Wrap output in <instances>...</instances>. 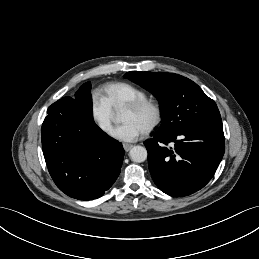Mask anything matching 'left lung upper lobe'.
<instances>
[{
  "label": "left lung upper lobe",
  "instance_id": "5c2ea615",
  "mask_svg": "<svg viewBox=\"0 0 259 259\" xmlns=\"http://www.w3.org/2000/svg\"><path fill=\"white\" fill-rule=\"evenodd\" d=\"M124 77L149 90L158 99L164 118L157 132L161 135L221 122L215 102L186 77L165 72L140 71H130Z\"/></svg>",
  "mask_w": 259,
  "mask_h": 259
}]
</instances>
